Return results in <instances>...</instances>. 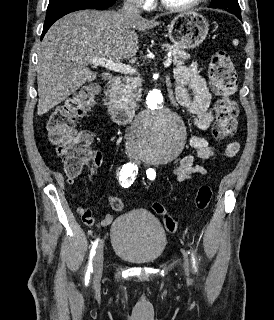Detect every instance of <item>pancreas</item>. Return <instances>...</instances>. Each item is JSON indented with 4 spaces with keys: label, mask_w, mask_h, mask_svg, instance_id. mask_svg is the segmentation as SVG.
Listing matches in <instances>:
<instances>
[{
    "label": "pancreas",
    "mask_w": 274,
    "mask_h": 320,
    "mask_svg": "<svg viewBox=\"0 0 274 320\" xmlns=\"http://www.w3.org/2000/svg\"><path fill=\"white\" fill-rule=\"evenodd\" d=\"M165 52H171L174 66H182L185 60L191 58L190 54H187L182 48H176V46H169L164 44ZM143 80L142 78H123V84L113 88L112 94L117 98V102L125 108H136V102H139V98L142 96V90L140 88Z\"/></svg>",
    "instance_id": "cf45deb5"
}]
</instances>
